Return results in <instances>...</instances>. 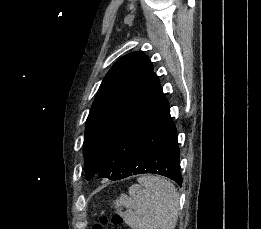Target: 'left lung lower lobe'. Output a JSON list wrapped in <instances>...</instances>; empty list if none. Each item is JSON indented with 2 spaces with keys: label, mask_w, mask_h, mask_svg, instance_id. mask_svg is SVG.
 Instances as JSON below:
<instances>
[{
  "label": "left lung lower lobe",
  "mask_w": 261,
  "mask_h": 229,
  "mask_svg": "<svg viewBox=\"0 0 261 229\" xmlns=\"http://www.w3.org/2000/svg\"><path fill=\"white\" fill-rule=\"evenodd\" d=\"M140 173L159 174L182 184L177 131L162 89L108 149L96 174L120 180Z\"/></svg>",
  "instance_id": "obj_1"
}]
</instances>
